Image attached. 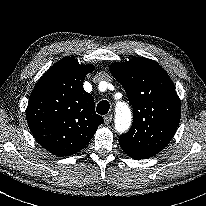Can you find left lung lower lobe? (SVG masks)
Instances as JSON below:
<instances>
[{
	"label": "left lung lower lobe",
	"instance_id": "obj_1",
	"mask_svg": "<svg viewBox=\"0 0 206 206\" xmlns=\"http://www.w3.org/2000/svg\"><path fill=\"white\" fill-rule=\"evenodd\" d=\"M124 152L131 158L133 159H146V158H149L148 156H145L143 155L142 153L134 150V149H130V148H124V147H121Z\"/></svg>",
	"mask_w": 206,
	"mask_h": 206
}]
</instances>
